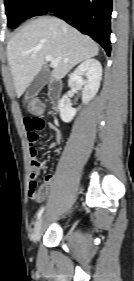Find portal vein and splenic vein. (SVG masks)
<instances>
[{"instance_id":"1","label":"portal vein and splenic vein","mask_w":134,"mask_h":281,"mask_svg":"<svg viewBox=\"0 0 134 281\" xmlns=\"http://www.w3.org/2000/svg\"><path fill=\"white\" fill-rule=\"evenodd\" d=\"M45 60L51 62L52 67L54 68L58 67L59 59H54L51 55H47L45 57Z\"/></svg>"}]
</instances>
